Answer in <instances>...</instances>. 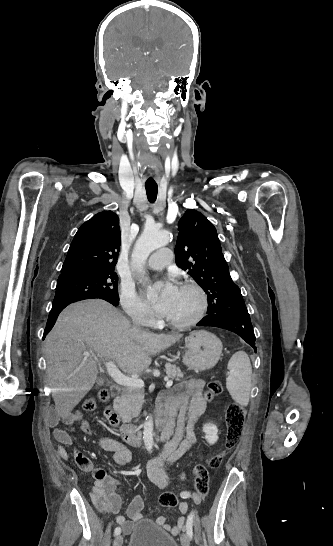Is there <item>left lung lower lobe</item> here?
I'll return each instance as SVG.
<instances>
[{"instance_id": "0a47b994", "label": "left lung lower lobe", "mask_w": 333, "mask_h": 546, "mask_svg": "<svg viewBox=\"0 0 333 546\" xmlns=\"http://www.w3.org/2000/svg\"><path fill=\"white\" fill-rule=\"evenodd\" d=\"M198 326H213L230 330L241 336L250 344L255 352V334L252 327L250 315L246 307L235 310H227L224 314H209L201 320Z\"/></svg>"}]
</instances>
